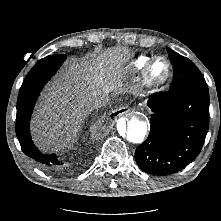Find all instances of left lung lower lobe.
Returning <instances> with one entry per match:
<instances>
[{"label":"left lung lower lobe","instance_id":"obj_1","mask_svg":"<svg viewBox=\"0 0 221 221\" xmlns=\"http://www.w3.org/2000/svg\"><path fill=\"white\" fill-rule=\"evenodd\" d=\"M151 127L137 147L135 160L148 174L178 172L200 153L209 128V90L206 82L157 92L148 102Z\"/></svg>","mask_w":221,"mask_h":221}]
</instances>
